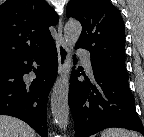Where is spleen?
<instances>
[{"label": "spleen", "mask_w": 144, "mask_h": 137, "mask_svg": "<svg viewBox=\"0 0 144 137\" xmlns=\"http://www.w3.org/2000/svg\"><path fill=\"white\" fill-rule=\"evenodd\" d=\"M101 137H138V134L125 129L109 128L102 132Z\"/></svg>", "instance_id": "obj_1"}]
</instances>
